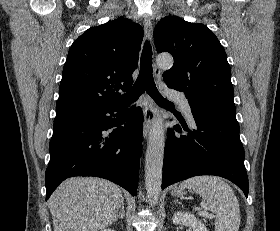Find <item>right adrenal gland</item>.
<instances>
[{
    "mask_svg": "<svg viewBox=\"0 0 280 231\" xmlns=\"http://www.w3.org/2000/svg\"><path fill=\"white\" fill-rule=\"evenodd\" d=\"M124 215H125L124 203H121V209L119 213L115 215L113 221H118V217H120V219H123Z\"/></svg>",
    "mask_w": 280,
    "mask_h": 231,
    "instance_id": "obj_1",
    "label": "right adrenal gland"
}]
</instances>
